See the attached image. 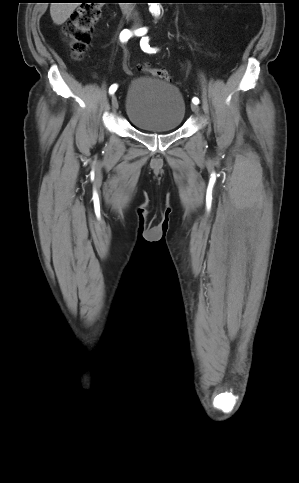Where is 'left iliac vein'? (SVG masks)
Wrapping results in <instances>:
<instances>
[{
	"mask_svg": "<svg viewBox=\"0 0 299 483\" xmlns=\"http://www.w3.org/2000/svg\"><path fill=\"white\" fill-rule=\"evenodd\" d=\"M191 109H192V111L197 112V111H198V106H197V104H194V103H193V104H191Z\"/></svg>",
	"mask_w": 299,
	"mask_h": 483,
	"instance_id": "left-iliac-vein-1",
	"label": "left iliac vein"
}]
</instances>
